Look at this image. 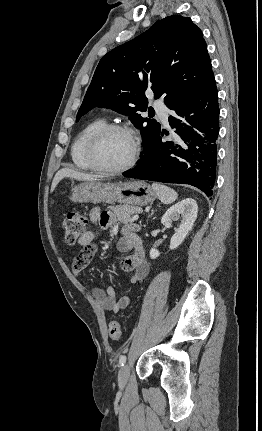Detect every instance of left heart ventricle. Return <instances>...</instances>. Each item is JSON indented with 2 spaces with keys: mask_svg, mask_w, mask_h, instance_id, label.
<instances>
[{
  "mask_svg": "<svg viewBox=\"0 0 262 431\" xmlns=\"http://www.w3.org/2000/svg\"><path fill=\"white\" fill-rule=\"evenodd\" d=\"M133 149V140L128 134L113 132L102 139L98 154L104 165L116 168L129 161Z\"/></svg>",
  "mask_w": 262,
  "mask_h": 431,
  "instance_id": "1",
  "label": "left heart ventricle"
}]
</instances>
